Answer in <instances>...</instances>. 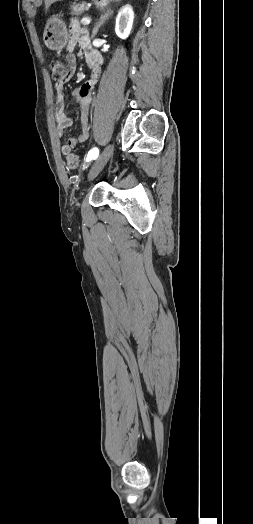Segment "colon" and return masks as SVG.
<instances>
[{"label": "colon", "mask_w": 253, "mask_h": 524, "mask_svg": "<svg viewBox=\"0 0 253 524\" xmlns=\"http://www.w3.org/2000/svg\"><path fill=\"white\" fill-rule=\"evenodd\" d=\"M68 63L63 62L60 59H53L49 62V68L51 71L52 79L60 82V76L66 71ZM68 166L72 169H76L80 166V159L75 154H70L67 157Z\"/></svg>", "instance_id": "5ec220e1"}]
</instances>
